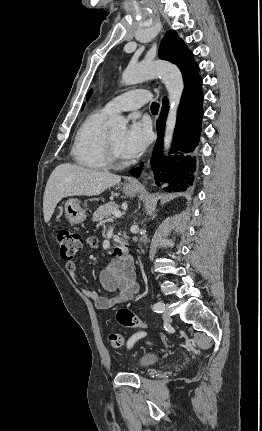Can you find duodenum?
<instances>
[{
    "label": "duodenum",
    "mask_w": 262,
    "mask_h": 431,
    "mask_svg": "<svg viewBox=\"0 0 262 431\" xmlns=\"http://www.w3.org/2000/svg\"><path fill=\"white\" fill-rule=\"evenodd\" d=\"M118 248H119V249H118V253H119V255H120L122 258H127V257H128V255H129L128 249H127L125 246H123V245H120Z\"/></svg>",
    "instance_id": "duodenum-1"
}]
</instances>
